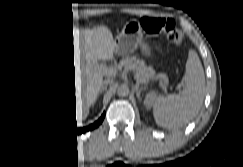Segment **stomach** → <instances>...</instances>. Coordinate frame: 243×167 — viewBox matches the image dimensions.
Returning a JSON list of instances; mask_svg holds the SVG:
<instances>
[{
  "label": "stomach",
  "mask_w": 243,
  "mask_h": 167,
  "mask_svg": "<svg viewBox=\"0 0 243 167\" xmlns=\"http://www.w3.org/2000/svg\"><path fill=\"white\" fill-rule=\"evenodd\" d=\"M115 52L119 55H128L134 52L137 47L141 48L144 56H153L150 46L143 41L142 27L137 21L127 22L122 31L116 37Z\"/></svg>",
  "instance_id": "0dacf381"
}]
</instances>
